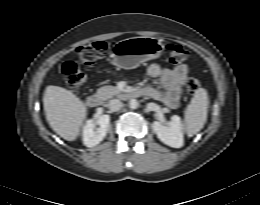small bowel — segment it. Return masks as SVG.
Masks as SVG:
<instances>
[{"label":"small bowel","mask_w":260,"mask_h":205,"mask_svg":"<svg viewBox=\"0 0 260 205\" xmlns=\"http://www.w3.org/2000/svg\"><path fill=\"white\" fill-rule=\"evenodd\" d=\"M150 80L158 81L163 90L148 84L140 89L144 96L164 103L169 108H177L183 86L187 80L188 67L185 64L173 68L152 63L147 68Z\"/></svg>","instance_id":"small-bowel-1"}]
</instances>
